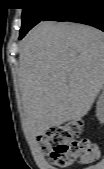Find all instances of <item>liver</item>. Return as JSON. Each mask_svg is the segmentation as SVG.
<instances>
[{"mask_svg": "<svg viewBox=\"0 0 104 169\" xmlns=\"http://www.w3.org/2000/svg\"><path fill=\"white\" fill-rule=\"evenodd\" d=\"M18 75L32 138L78 121L103 88L104 34L77 23L41 22L20 43Z\"/></svg>", "mask_w": 104, "mask_h": 169, "instance_id": "1", "label": "liver"}]
</instances>
